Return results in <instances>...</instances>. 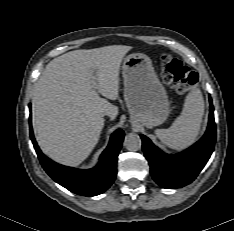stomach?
<instances>
[{
    "instance_id": "0dacf381",
    "label": "stomach",
    "mask_w": 234,
    "mask_h": 231,
    "mask_svg": "<svg viewBox=\"0 0 234 231\" xmlns=\"http://www.w3.org/2000/svg\"><path fill=\"white\" fill-rule=\"evenodd\" d=\"M124 99L134 125L152 128L168 117L170 103L150 57L133 53L123 59Z\"/></svg>"
}]
</instances>
